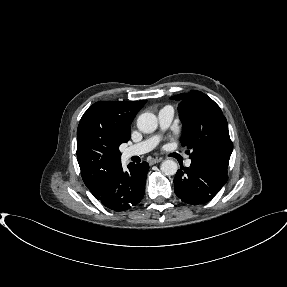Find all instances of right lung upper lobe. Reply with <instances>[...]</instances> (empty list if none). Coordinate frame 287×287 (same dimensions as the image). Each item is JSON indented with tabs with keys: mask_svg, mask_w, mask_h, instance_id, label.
I'll return each mask as SVG.
<instances>
[{
	"mask_svg": "<svg viewBox=\"0 0 287 287\" xmlns=\"http://www.w3.org/2000/svg\"><path fill=\"white\" fill-rule=\"evenodd\" d=\"M146 102L101 101L83 114L77 130V159L91 193L110 171L121 166L119 146L130 139V124Z\"/></svg>",
	"mask_w": 287,
	"mask_h": 287,
	"instance_id": "right-lung-upper-lobe-1",
	"label": "right lung upper lobe"
}]
</instances>
